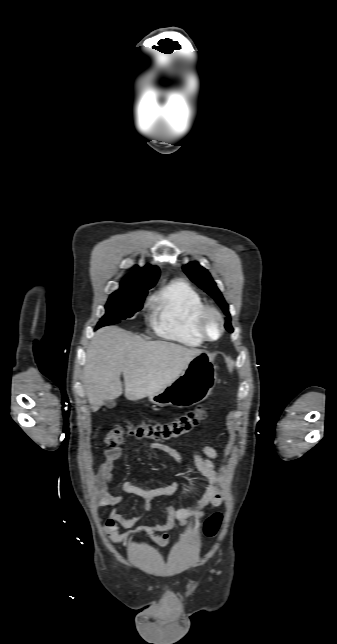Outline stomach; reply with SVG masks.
I'll list each match as a JSON object with an SVG mask.
<instances>
[{"label": "stomach", "mask_w": 337, "mask_h": 644, "mask_svg": "<svg viewBox=\"0 0 337 644\" xmlns=\"http://www.w3.org/2000/svg\"><path fill=\"white\" fill-rule=\"evenodd\" d=\"M216 382V370L207 352L196 355L170 385L150 395L153 404L178 408L196 405L209 397Z\"/></svg>", "instance_id": "0dacf381"}]
</instances>
